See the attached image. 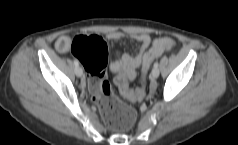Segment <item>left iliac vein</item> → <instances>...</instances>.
<instances>
[{
	"label": "left iliac vein",
	"instance_id": "obj_1",
	"mask_svg": "<svg viewBox=\"0 0 238 145\" xmlns=\"http://www.w3.org/2000/svg\"><path fill=\"white\" fill-rule=\"evenodd\" d=\"M159 76V68L158 67H153L150 77L152 79H156Z\"/></svg>",
	"mask_w": 238,
	"mask_h": 145
}]
</instances>
